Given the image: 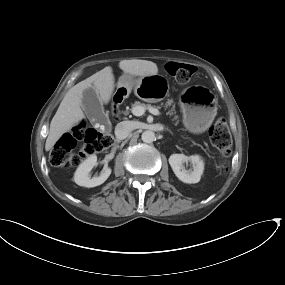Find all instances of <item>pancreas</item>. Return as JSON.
<instances>
[{
  "label": "pancreas",
  "instance_id": "cf45deb5",
  "mask_svg": "<svg viewBox=\"0 0 285 285\" xmlns=\"http://www.w3.org/2000/svg\"><path fill=\"white\" fill-rule=\"evenodd\" d=\"M172 105V109L171 111H174V105H173V100H168L166 103H165V107H169ZM136 106H143L145 109H149L151 108L152 106L150 104H144V103H140V102H135L133 105H132V108L133 107H136ZM156 108H160L159 106H157Z\"/></svg>",
  "mask_w": 285,
  "mask_h": 285
}]
</instances>
